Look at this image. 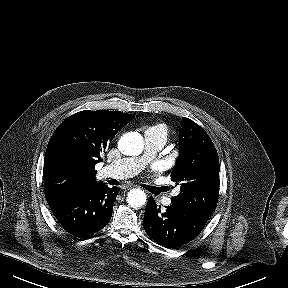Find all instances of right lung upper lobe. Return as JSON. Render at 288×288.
<instances>
[{"instance_id": "1", "label": "right lung upper lobe", "mask_w": 288, "mask_h": 288, "mask_svg": "<svg viewBox=\"0 0 288 288\" xmlns=\"http://www.w3.org/2000/svg\"><path fill=\"white\" fill-rule=\"evenodd\" d=\"M134 118L118 111H80L64 120L48 143L44 162L47 200L98 184L95 165L116 133Z\"/></svg>"}]
</instances>
